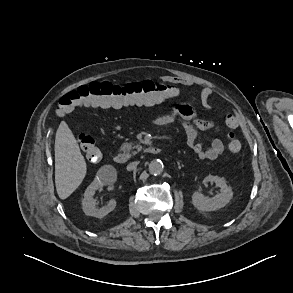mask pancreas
Segmentation results:
<instances>
[{"label":"pancreas","instance_id":"obj_1","mask_svg":"<svg viewBox=\"0 0 293 293\" xmlns=\"http://www.w3.org/2000/svg\"><path fill=\"white\" fill-rule=\"evenodd\" d=\"M133 149H137V151H140L142 149V146L137 143H123L121 146V150L127 154L128 156L131 155V152L133 154H136L135 151H132Z\"/></svg>","mask_w":293,"mask_h":293}]
</instances>
